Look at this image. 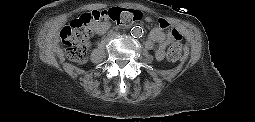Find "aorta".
Listing matches in <instances>:
<instances>
[{
  "instance_id": "762f6f07",
  "label": "aorta",
  "mask_w": 255,
  "mask_h": 122,
  "mask_svg": "<svg viewBox=\"0 0 255 122\" xmlns=\"http://www.w3.org/2000/svg\"><path fill=\"white\" fill-rule=\"evenodd\" d=\"M131 35L135 38H140L143 35V28L140 26H134L131 29Z\"/></svg>"
}]
</instances>
